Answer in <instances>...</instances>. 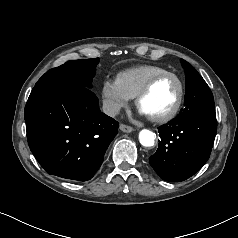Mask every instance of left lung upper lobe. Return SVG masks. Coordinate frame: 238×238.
I'll use <instances>...</instances> for the list:
<instances>
[{
    "label": "left lung upper lobe",
    "instance_id": "5c2ea615",
    "mask_svg": "<svg viewBox=\"0 0 238 238\" xmlns=\"http://www.w3.org/2000/svg\"><path fill=\"white\" fill-rule=\"evenodd\" d=\"M186 75V93L184 109L178 116L190 117L215 111L214 98L207 83L187 61L181 59Z\"/></svg>",
    "mask_w": 238,
    "mask_h": 238
}]
</instances>
